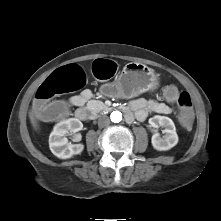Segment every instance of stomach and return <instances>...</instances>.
<instances>
[{
	"instance_id": "obj_1",
	"label": "stomach",
	"mask_w": 221,
	"mask_h": 221,
	"mask_svg": "<svg viewBox=\"0 0 221 221\" xmlns=\"http://www.w3.org/2000/svg\"><path fill=\"white\" fill-rule=\"evenodd\" d=\"M158 85V75L152 68L141 63L130 62L124 66L110 87L113 96L131 98L154 90Z\"/></svg>"
}]
</instances>
